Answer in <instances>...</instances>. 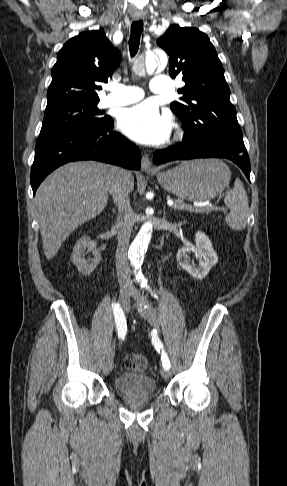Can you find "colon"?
Wrapping results in <instances>:
<instances>
[{"mask_svg": "<svg viewBox=\"0 0 287 486\" xmlns=\"http://www.w3.org/2000/svg\"><path fill=\"white\" fill-rule=\"evenodd\" d=\"M125 366L132 371H143L148 366L146 357L140 354H128L125 357Z\"/></svg>", "mask_w": 287, "mask_h": 486, "instance_id": "1", "label": "colon"}]
</instances>
